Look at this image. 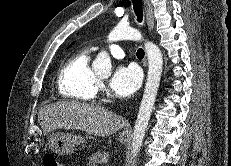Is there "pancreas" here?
I'll list each match as a JSON object with an SVG mask.
<instances>
[{
    "label": "pancreas",
    "mask_w": 231,
    "mask_h": 166,
    "mask_svg": "<svg viewBox=\"0 0 231 166\" xmlns=\"http://www.w3.org/2000/svg\"><path fill=\"white\" fill-rule=\"evenodd\" d=\"M109 153L107 152H96L89 157V166H98L102 163L104 158H107Z\"/></svg>",
    "instance_id": "obj_1"
}]
</instances>
